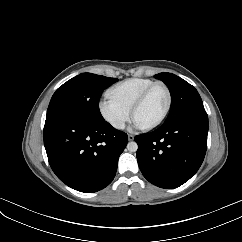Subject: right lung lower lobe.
Here are the masks:
<instances>
[{"mask_svg": "<svg viewBox=\"0 0 242 242\" xmlns=\"http://www.w3.org/2000/svg\"><path fill=\"white\" fill-rule=\"evenodd\" d=\"M127 141L126 133L105 120L59 116L45 121L44 145L52 170L66 185L84 193L112 182Z\"/></svg>", "mask_w": 242, "mask_h": 242, "instance_id": "right-lung-lower-lobe-1", "label": "right lung lower lobe"}]
</instances>
